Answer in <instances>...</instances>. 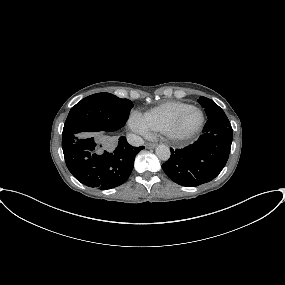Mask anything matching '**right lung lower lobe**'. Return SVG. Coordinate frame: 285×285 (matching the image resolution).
Returning <instances> with one entry per match:
<instances>
[{"label": "right lung lower lobe", "mask_w": 285, "mask_h": 285, "mask_svg": "<svg viewBox=\"0 0 285 285\" xmlns=\"http://www.w3.org/2000/svg\"><path fill=\"white\" fill-rule=\"evenodd\" d=\"M67 168L82 184L100 190L123 184L134 166L135 156L144 147H132L121 136L113 150H105L99 141L86 134L62 140Z\"/></svg>", "instance_id": "98d812e1"}]
</instances>
